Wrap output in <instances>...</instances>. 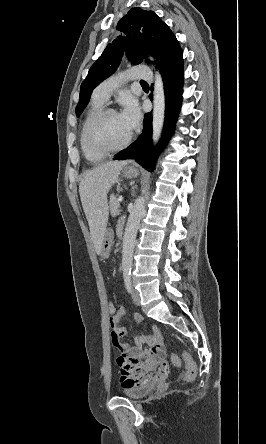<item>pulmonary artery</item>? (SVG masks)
<instances>
[{
    "mask_svg": "<svg viewBox=\"0 0 266 444\" xmlns=\"http://www.w3.org/2000/svg\"><path fill=\"white\" fill-rule=\"evenodd\" d=\"M151 71L148 66H133L104 80L94 91V97L105 102L110 95L128 80H150Z\"/></svg>",
    "mask_w": 266,
    "mask_h": 444,
    "instance_id": "1",
    "label": "pulmonary artery"
}]
</instances>
